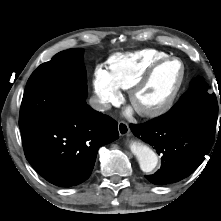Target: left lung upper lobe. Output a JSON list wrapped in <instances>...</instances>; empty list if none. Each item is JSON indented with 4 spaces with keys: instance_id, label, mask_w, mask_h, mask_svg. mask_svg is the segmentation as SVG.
<instances>
[{
    "instance_id": "5c2ea615",
    "label": "left lung upper lobe",
    "mask_w": 221,
    "mask_h": 221,
    "mask_svg": "<svg viewBox=\"0 0 221 221\" xmlns=\"http://www.w3.org/2000/svg\"><path fill=\"white\" fill-rule=\"evenodd\" d=\"M208 88V84L202 78L194 79L189 90L168 113L160 116V119L162 121L187 119L217 120V99L215 94L208 93Z\"/></svg>"
}]
</instances>
